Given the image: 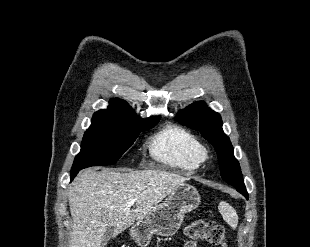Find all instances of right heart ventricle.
Returning a JSON list of instances; mask_svg holds the SVG:
<instances>
[{
  "label": "right heart ventricle",
  "mask_w": 310,
  "mask_h": 247,
  "mask_svg": "<svg viewBox=\"0 0 310 247\" xmlns=\"http://www.w3.org/2000/svg\"><path fill=\"white\" fill-rule=\"evenodd\" d=\"M152 157L172 168L193 171L202 161L204 146L189 130L169 124L154 134L148 143Z\"/></svg>",
  "instance_id": "1"
}]
</instances>
